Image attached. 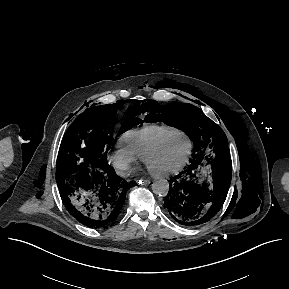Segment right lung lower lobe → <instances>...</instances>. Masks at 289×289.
<instances>
[{
	"mask_svg": "<svg viewBox=\"0 0 289 289\" xmlns=\"http://www.w3.org/2000/svg\"><path fill=\"white\" fill-rule=\"evenodd\" d=\"M134 185L119 177L105 158L80 167L59 190L63 204L74 218L90 228L106 229L119 218L126 192Z\"/></svg>",
	"mask_w": 289,
	"mask_h": 289,
	"instance_id": "right-lung-lower-lobe-1",
	"label": "right lung lower lobe"
}]
</instances>
